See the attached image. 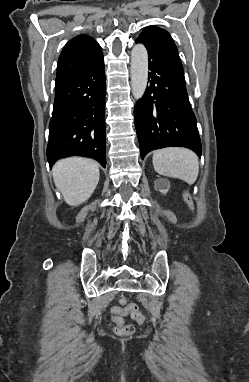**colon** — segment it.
Segmentation results:
<instances>
[{"instance_id":"1","label":"colon","mask_w":249,"mask_h":382,"mask_svg":"<svg viewBox=\"0 0 249 382\" xmlns=\"http://www.w3.org/2000/svg\"><path fill=\"white\" fill-rule=\"evenodd\" d=\"M120 304L122 307H114L111 310L112 318L115 323V331L119 335H130L134 332V327L129 324H124L122 320V316L126 315L127 313H130L131 317L137 322V323H144L145 322V316L144 314L139 310L138 306L132 303H128L126 298H122L120 300Z\"/></svg>"}]
</instances>
